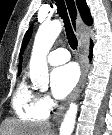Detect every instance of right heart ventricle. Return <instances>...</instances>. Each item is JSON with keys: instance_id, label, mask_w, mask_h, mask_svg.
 <instances>
[{"instance_id": "obj_1", "label": "right heart ventricle", "mask_w": 112, "mask_h": 135, "mask_svg": "<svg viewBox=\"0 0 112 135\" xmlns=\"http://www.w3.org/2000/svg\"><path fill=\"white\" fill-rule=\"evenodd\" d=\"M12 107L15 114L27 122H41L48 116V110L41 105L39 95L25 81L15 90Z\"/></svg>"}]
</instances>
